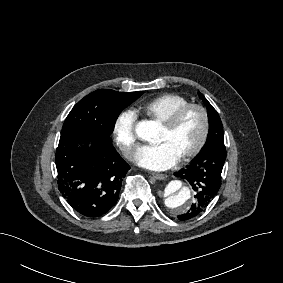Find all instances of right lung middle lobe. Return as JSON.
<instances>
[{
	"label": "right lung middle lobe",
	"mask_w": 283,
	"mask_h": 283,
	"mask_svg": "<svg viewBox=\"0 0 283 283\" xmlns=\"http://www.w3.org/2000/svg\"><path fill=\"white\" fill-rule=\"evenodd\" d=\"M144 92L120 93L96 90L81 99L68 114L61 135L79 133L90 138L112 142L110 135L121 111Z\"/></svg>",
	"instance_id": "dd1d6c3e"
}]
</instances>
